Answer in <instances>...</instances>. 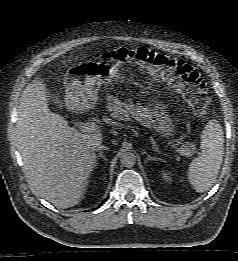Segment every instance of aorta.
Returning <instances> with one entry per match:
<instances>
[{
	"mask_svg": "<svg viewBox=\"0 0 238 261\" xmlns=\"http://www.w3.org/2000/svg\"><path fill=\"white\" fill-rule=\"evenodd\" d=\"M120 162L124 167H132L136 163V156L133 152L125 151L121 154Z\"/></svg>",
	"mask_w": 238,
	"mask_h": 261,
	"instance_id": "aorta-1",
	"label": "aorta"
}]
</instances>
